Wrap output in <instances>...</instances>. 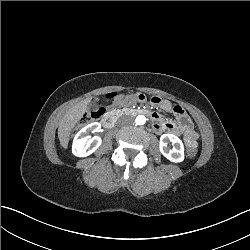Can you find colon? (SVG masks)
I'll use <instances>...</instances> for the list:
<instances>
[{
    "label": "colon",
    "instance_id": "colon-1",
    "mask_svg": "<svg viewBox=\"0 0 250 250\" xmlns=\"http://www.w3.org/2000/svg\"><path fill=\"white\" fill-rule=\"evenodd\" d=\"M121 98L122 96L117 95L116 93H109L105 96L106 101H118ZM134 98L140 102H145L147 100L146 94L142 92L136 93L134 95ZM150 102L153 103V105H158V103H162L161 95H150ZM106 110L107 107L105 105H102L101 103L92 104L88 112L81 119L80 125H87L89 123L98 121L99 118L105 114ZM175 111L182 112L180 108H175ZM180 119L183 126L186 127L188 123L186 116L181 115ZM186 144H187L186 156L193 157L197 151L196 141L191 138H187Z\"/></svg>",
    "mask_w": 250,
    "mask_h": 250
}]
</instances>
